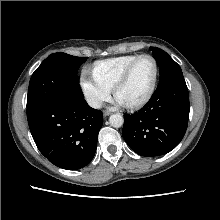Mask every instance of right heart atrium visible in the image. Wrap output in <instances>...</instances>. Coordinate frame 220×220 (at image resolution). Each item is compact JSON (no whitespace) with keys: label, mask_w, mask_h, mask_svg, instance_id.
Instances as JSON below:
<instances>
[{"label":"right heart atrium","mask_w":220,"mask_h":220,"mask_svg":"<svg viewBox=\"0 0 220 220\" xmlns=\"http://www.w3.org/2000/svg\"><path fill=\"white\" fill-rule=\"evenodd\" d=\"M80 85L87 103L93 108H99L109 98L111 88L100 82L88 69H84Z\"/></svg>","instance_id":"obj_1"}]
</instances>
